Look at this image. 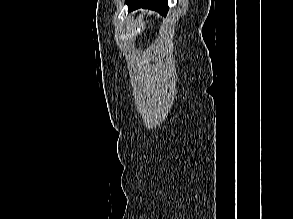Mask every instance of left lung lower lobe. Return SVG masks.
I'll return each instance as SVG.
<instances>
[{
	"label": "left lung lower lobe",
	"mask_w": 293,
	"mask_h": 219,
	"mask_svg": "<svg viewBox=\"0 0 293 219\" xmlns=\"http://www.w3.org/2000/svg\"><path fill=\"white\" fill-rule=\"evenodd\" d=\"M126 4L129 11L142 7L155 10L163 15H166L169 9L167 0H126Z\"/></svg>",
	"instance_id": "0a47b994"
}]
</instances>
